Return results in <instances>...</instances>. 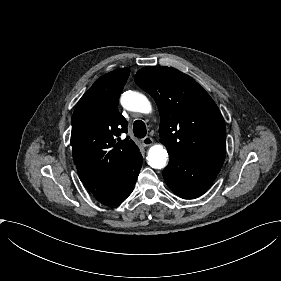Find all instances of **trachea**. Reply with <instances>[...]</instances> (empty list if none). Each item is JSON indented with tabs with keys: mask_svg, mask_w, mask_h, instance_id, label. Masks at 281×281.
Masks as SVG:
<instances>
[{
	"mask_svg": "<svg viewBox=\"0 0 281 281\" xmlns=\"http://www.w3.org/2000/svg\"><path fill=\"white\" fill-rule=\"evenodd\" d=\"M133 133L137 138H144L147 134L145 123L141 120H136L133 124Z\"/></svg>",
	"mask_w": 281,
	"mask_h": 281,
	"instance_id": "1",
	"label": "trachea"
}]
</instances>
